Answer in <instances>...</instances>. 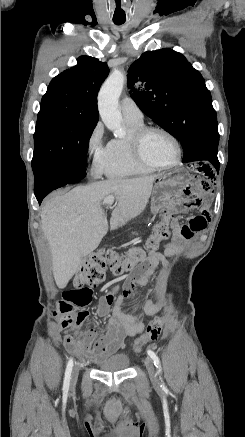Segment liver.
<instances>
[{
    "label": "liver",
    "instance_id": "6515ba94",
    "mask_svg": "<svg viewBox=\"0 0 245 437\" xmlns=\"http://www.w3.org/2000/svg\"><path fill=\"white\" fill-rule=\"evenodd\" d=\"M157 175L115 178L78 186L50 198L41 211V227L49 243L56 285L63 289L82 260L93 252L109 230L101 202L116 198L110 230L140 215L149 201Z\"/></svg>",
    "mask_w": 245,
    "mask_h": 437
}]
</instances>
